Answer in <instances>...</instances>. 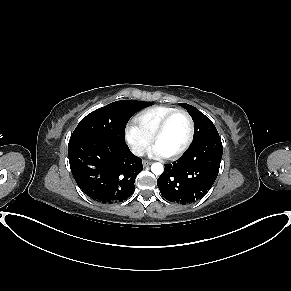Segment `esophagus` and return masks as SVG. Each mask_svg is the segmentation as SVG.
<instances>
[{
    "label": "esophagus",
    "instance_id": "34e87169",
    "mask_svg": "<svg viewBox=\"0 0 291 291\" xmlns=\"http://www.w3.org/2000/svg\"><path fill=\"white\" fill-rule=\"evenodd\" d=\"M151 165V162L148 161V160H143V166L146 167V166H149Z\"/></svg>",
    "mask_w": 291,
    "mask_h": 291
}]
</instances>
